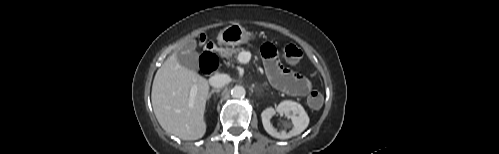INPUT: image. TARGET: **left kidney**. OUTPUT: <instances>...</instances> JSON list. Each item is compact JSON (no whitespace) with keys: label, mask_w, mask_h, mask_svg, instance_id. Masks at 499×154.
Listing matches in <instances>:
<instances>
[{"label":"left kidney","mask_w":499,"mask_h":154,"mask_svg":"<svg viewBox=\"0 0 499 154\" xmlns=\"http://www.w3.org/2000/svg\"><path fill=\"white\" fill-rule=\"evenodd\" d=\"M276 112L283 113L288 116L293 124V128L288 133L285 130L277 131L272 126L270 119ZM263 127L268 134L278 139H288L302 133L309 124V117L304 108L297 102L286 100L281 102L276 109L266 108L261 113Z\"/></svg>","instance_id":"obj_1"}]
</instances>
